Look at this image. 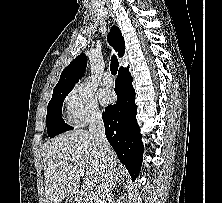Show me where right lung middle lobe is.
Listing matches in <instances>:
<instances>
[{
	"label": "right lung middle lobe",
	"instance_id": "1",
	"mask_svg": "<svg viewBox=\"0 0 222 203\" xmlns=\"http://www.w3.org/2000/svg\"><path fill=\"white\" fill-rule=\"evenodd\" d=\"M72 89L73 88L53 92L52 98L48 103L46 124L47 133L50 138L73 129V127L66 124L61 117L63 101Z\"/></svg>",
	"mask_w": 222,
	"mask_h": 203
}]
</instances>
